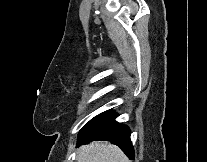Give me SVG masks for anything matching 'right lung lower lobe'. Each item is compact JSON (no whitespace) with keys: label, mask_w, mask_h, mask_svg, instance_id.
<instances>
[{"label":"right lung lower lobe","mask_w":207,"mask_h":162,"mask_svg":"<svg viewBox=\"0 0 207 162\" xmlns=\"http://www.w3.org/2000/svg\"><path fill=\"white\" fill-rule=\"evenodd\" d=\"M116 116L115 112L109 110L91 119L80 131L77 146L94 140H107L118 145L131 160H134L130 130L116 122Z\"/></svg>","instance_id":"98d812e1"}]
</instances>
